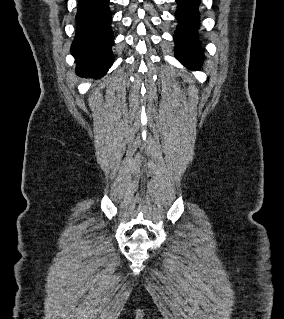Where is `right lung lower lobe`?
<instances>
[{"label": "right lung lower lobe", "instance_id": "obj_1", "mask_svg": "<svg viewBox=\"0 0 284 319\" xmlns=\"http://www.w3.org/2000/svg\"><path fill=\"white\" fill-rule=\"evenodd\" d=\"M109 0H79L76 36L71 46L80 75L101 77L113 64Z\"/></svg>", "mask_w": 284, "mask_h": 319}]
</instances>
